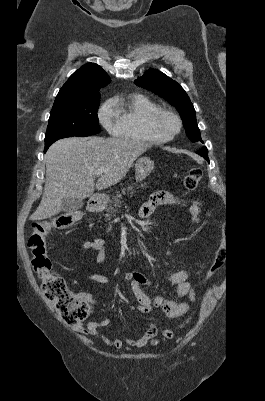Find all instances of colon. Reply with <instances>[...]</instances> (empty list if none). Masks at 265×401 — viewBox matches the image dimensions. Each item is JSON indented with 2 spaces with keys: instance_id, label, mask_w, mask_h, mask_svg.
<instances>
[{
  "instance_id": "colon-1",
  "label": "colon",
  "mask_w": 265,
  "mask_h": 401,
  "mask_svg": "<svg viewBox=\"0 0 265 401\" xmlns=\"http://www.w3.org/2000/svg\"><path fill=\"white\" fill-rule=\"evenodd\" d=\"M201 177V169L193 166L184 177V187L189 191L196 189ZM81 216L79 211H72L50 221L35 222L34 231L28 240V246L32 253V266L41 280L42 292L54 304L63 322L70 326H78L88 317L90 305L86 299L74 294L68 288L63 277L51 272L52 263L46 252V239L51 231L69 228L80 220ZM225 261L226 250L221 247L217 250L215 259L206 272V278L222 268ZM163 335L169 339L173 336V331L165 329Z\"/></svg>"
}]
</instances>
